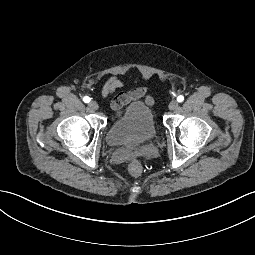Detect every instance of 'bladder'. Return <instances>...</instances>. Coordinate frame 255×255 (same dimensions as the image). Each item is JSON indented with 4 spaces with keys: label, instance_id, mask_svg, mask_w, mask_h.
<instances>
[{
    "label": "bladder",
    "instance_id": "1",
    "mask_svg": "<svg viewBox=\"0 0 255 255\" xmlns=\"http://www.w3.org/2000/svg\"><path fill=\"white\" fill-rule=\"evenodd\" d=\"M157 125L151 108L143 101H133L110 123L106 139L111 146L141 144L153 140Z\"/></svg>",
    "mask_w": 255,
    "mask_h": 255
}]
</instances>
